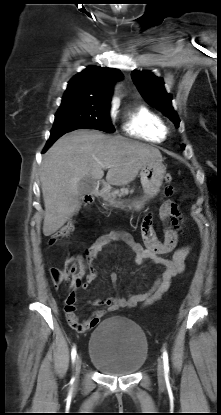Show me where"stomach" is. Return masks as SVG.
Masks as SVG:
<instances>
[{
  "label": "stomach",
  "mask_w": 221,
  "mask_h": 415,
  "mask_svg": "<svg viewBox=\"0 0 221 415\" xmlns=\"http://www.w3.org/2000/svg\"><path fill=\"white\" fill-rule=\"evenodd\" d=\"M165 173L166 168L162 162L154 161L147 163L140 171V180L144 196L134 200L110 201L111 204L116 207H126L135 211H140L148 199L153 198L158 194L160 187L162 186Z\"/></svg>",
  "instance_id": "stomach-1"
}]
</instances>
